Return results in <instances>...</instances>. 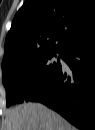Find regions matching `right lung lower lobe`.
I'll return each instance as SVG.
<instances>
[{"label":"right lung lower lobe","mask_w":95,"mask_h":130,"mask_svg":"<svg viewBox=\"0 0 95 130\" xmlns=\"http://www.w3.org/2000/svg\"><path fill=\"white\" fill-rule=\"evenodd\" d=\"M71 72H57L31 100L56 110L73 124L83 127L81 113L95 109V33L61 52Z\"/></svg>","instance_id":"right-lung-lower-lobe-1"}]
</instances>
